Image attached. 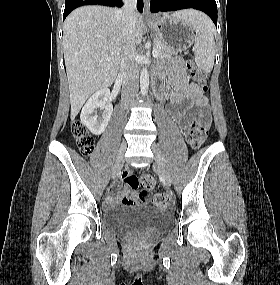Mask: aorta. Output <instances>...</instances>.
Instances as JSON below:
<instances>
[{
    "instance_id": "obj_1",
    "label": "aorta",
    "mask_w": 280,
    "mask_h": 285,
    "mask_svg": "<svg viewBox=\"0 0 280 285\" xmlns=\"http://www.w3.org/2000/svg\"><path fill=\"white\" fill-rule=\"evenodd\" d=\"M149 89V74L146 67H143L140 74V92L142 96H146Z\"/></svg>"
}]
</instances>
